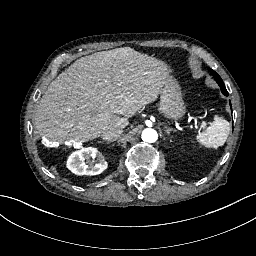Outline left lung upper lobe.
Masks as SVG:
<instances>
[{
    "mask_svg": "<svg viewBox=\"0 0 256 256\" xmlns=\"http://www.w3.org/2000/svg\"><path fill=\"white\" fill-rule=\"evenodd\" d=\"M209 70L212 73V75L214 76V78L216 79L218 85L221 87L222 93L224 95L228 96V92H227V90L225 88V85H224L222 79L220 78V76L215 71H213L212 69H209ZM230 105H231V103H230Z\"/></svg>",
    "mask_w": 256,
    "mask_h": 256,
    "instance_id": "5c2ea615",
    "label": "left lung upper lobe"
}]
</instances>
